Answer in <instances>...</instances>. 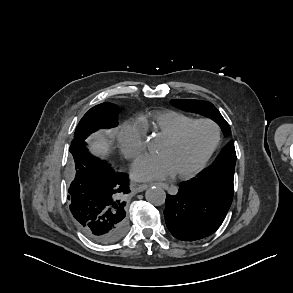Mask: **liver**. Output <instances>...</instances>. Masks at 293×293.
I'll return each mask as SVG.
<instances>
[{"mask_svg":"<svg viewBox=\"0 0 293 293\" xmlns=\"http://www.w3.org/2000/svg\"><path fill=\"white\" fill-rule=\"evenodd\" d=\"M87 143L94 154L105 155L110 149V143L100 133L92 134Z\"/></svg>","mask_w":293,"mask_h":293,"instance_id":"obj_1","label":"liver"}]
</instances>
